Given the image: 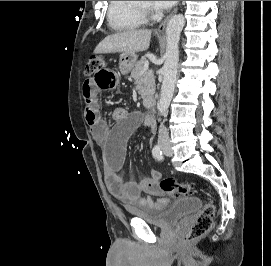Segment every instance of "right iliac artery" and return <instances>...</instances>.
I'll return each instance as SVG.
<instances>
[{
	"label": "right iliac artery",
	"mask_w": 271,
	"mask_h": 266,
	"mask_svg": "<svg viewBox=\"0 0 271 266\" xmlns=\"http://www.w3.org/2000/svg\"><path fill=\"white\" fill-rule=\"evenodd\" d=\"M152 154H153L154 158H156L158 160H161L163 158L162 150L159 145L154 146V148L152 150Z\"/></svg>",
	"instance_id": "right-iliac-artery-1"
}]
</instances>
